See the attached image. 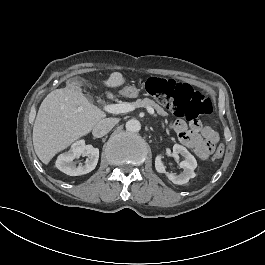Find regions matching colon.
Instances as JSON below:
<instances>
[{
	"label": "colon",
	"instance_id": "colon-1",
	"mask_svg": "<svg viewBox=\"0 0 265 265\" xmlns=\"http://www.w3.org/2000/svg\"><path fill=\"white\" fill-rule=\"evenodd\" d=\"M141 85L151 97L178 118L193 120L211 113V99L196 92L189 84L151 76L144 78ZM224 151V145L220 144L212 154L213 160L219 161Z\"/></svg>",
	"mask_w": 265,
	"mask_h": 265
}]
</instances>
